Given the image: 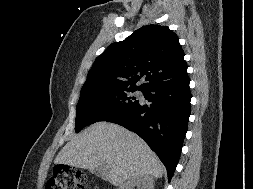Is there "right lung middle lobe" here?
Segmentation results:
<instances>
[{"label": "right lung middle lobe", "mask_w": 253, "mask_h": 189, "mask_svg": "<svg viewBox=\"0 0 253 189\" xmlns=\"http://www.w3.org/2000/svg\"><path fill=\"white\" fill-rule=\"evenodd\" d=\"M136 90L138 89L132 87L107 86L82 92L77 104L76 132L87 125L107 120L136 106V98L127 93Z\"/></svg>", "instance_id": "right-lung-middle-lobe-1"}]
</instances>
